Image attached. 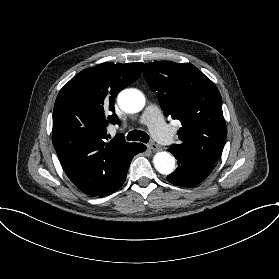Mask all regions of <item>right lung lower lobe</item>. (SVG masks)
Here are the masks:
<instances>
[{
	"label": "right lung lower lobe",
	"mask_w": 279,
	"mask_h": 279,
	"mask_svg": "<svg viewBox=\"0 0 279 279\" xmlns=\"http://www.w3.org/2000/svg\"><path fill=\"white\" fill-rule=\"evenodd\" d=\"M138 149H139V151H138V153H139V152L144 151L146 149V147L145 146L144 147H139ZM127 170H128V168L119 176L117 181L100 197L107 196V195L115 192L117 189H119L123 185V183L125 182Z\"/></svg>",
	"instance_id": "obj_1"
}]
</instances>
